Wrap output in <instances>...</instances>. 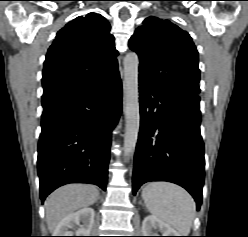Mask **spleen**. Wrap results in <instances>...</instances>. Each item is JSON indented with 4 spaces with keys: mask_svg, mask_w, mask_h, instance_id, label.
Segmentation results:
<instances>
[{
    "mask_svg": "<svg viewBox=\"0 0 248 237\" xmlns=\"http://www.w3.org/2000/svg\"><path fill=\"white\" fill-rule=\"evenodd\" d=\"M148 211L188 236L195 216V202L183 188L168 182H151L142 190Z\"/></svg>",
    "mask_w": 248,
    "mask_h": 237,
    "instance_id": "3e777b00",
    "label": "spleen"
}]
</instances>
